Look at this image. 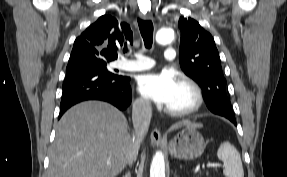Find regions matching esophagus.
I'll use <instances>...</instances> for the list:
<instances>
[{"mask_svg": "<svg viewBox=\"0 0 287 177\" xmlns=\"http://www.w3.org/2000/svg\"><path fill=\"white\" fill-rule=\"evenodd\" d=\"M140 15L145 20H153V16L149 12L148 13H144V14H140ZM150 138H151L152 143H154V144L163 145L165 143V141H164V139H163V137L161 135L160 130L157 129V128H155L151 132Z\"/></svg>", "mask_w": 287, "mask_h": 177, "instance_id": "1", "label": "esophagus"}]
</instances>
